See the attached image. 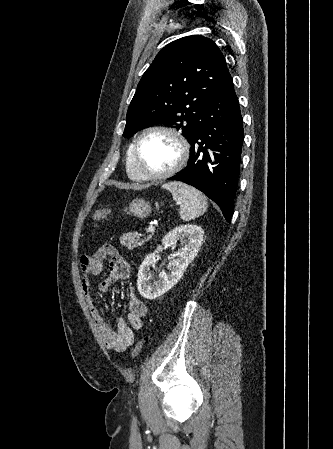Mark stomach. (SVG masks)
Listing matches in <instances>:
<instances>
[{
  "label": "stomach",
  "instance_id": "0dacf381",
  "mask_svg": "<svg viewBox=\"0 0 333 449\" xmlns=\"http://www.w3.org/2000/svg\"><path fill=\"white\" fill-rule=\"evenodd\" d=\"M152 211L149 202L143 199L133 200L129 204V213L138 218H146Z\"/></svg>",
  "mask_w": 333,
  "mask_h": 449
}]
</instances>
